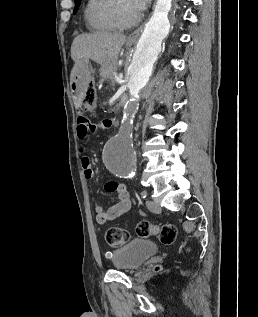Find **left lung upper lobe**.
Masks as SVG:
<instances>
[{"mask_svg":"<svg viewBox=\"0 0 258 317\" xmlns=\"http://www.w3.org/2000/svg\"><path fill=\"white\" fill-rule=\"evenodd\" d=\"M80 2H81V0H75L76 6H75V8H74V13H76V11H77V9H78V7H79Z\"/></svg>","mask_w":258,"mask_h":317,"instance_id":"obj_1","label":"left lung upper lobe"}]
</instances>
